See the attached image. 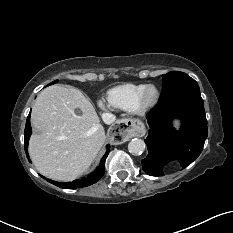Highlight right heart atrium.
Returning <instances> with one entry per match:
<instances>
[{
  "instance_id": "obj_1",
  "label": "right heart atrium",
  "mask_w": 233,
  "mask_h": 233,
  "mask_svg": "<svg viewBox=\"0 0 233 233\" xmlns=\"http://www.w3.org/2000/svg\"><path fill=\"white\" fill-rule=\"evenodd\" d=\"M97 104H98V107H99L100 109H102V110H107L108 107H109L108 103L105 102V101L102 100V99H99L98 102H97Z\"/></svg>"
}]
</instances>
